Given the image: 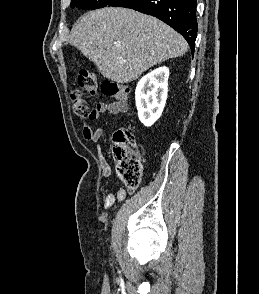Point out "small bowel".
Segmentation results:
<instances>
[{
	"label": "small bowel",
	"mask_w": 259,
	"mask_h": 294,
	"mask_svg": "<svg viewBox=\"0 0 259 294\" xmlns=\"http://www.w3.org/2000/svg\"><path fill=\"white\" fill-rule=\"evenodd\" d=\"M127 110V104L125 102L117 101L112 103H106V102H99L93 108L92 115L90 116L91 120H95L99 118L102 115L106 114H120L124 113ZM82 133L83 137L87 141H91L95 144H97V154L100 159L101 169H102V175L103 177H109L111 174V167L107 160L105 159L103 150L101 146L99 145V142L103 136V129L96 128L92 129V127L84 121L82 124ZM126 196V191L124 188L119 187L115 192H110L106 195L104 199V208H115L116 203L121 202L124 200Z\"/></svg>",
	"instance_id": "1"
}]
</instances>
